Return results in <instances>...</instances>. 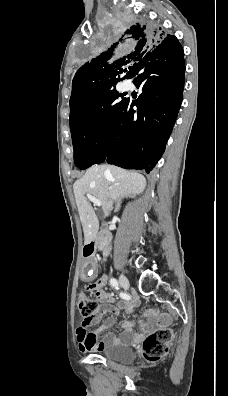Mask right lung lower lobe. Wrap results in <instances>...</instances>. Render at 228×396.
<instances>
[{"label": "right lung lower lobe", "mask_w": 228, "mask_h": 396, "mask_svg": "<svg viewBox=\"0 0 228 396\" xmlns=\"http://www.w3.org/2000/svg\"><path fill=\"white\" fill-rule=\"evenodd\" d=\"M158 47L132 75L143 92L124 99L109 135L104 159L109 164L149 173L165 150L182 102L185 62L181 45Z\"/></svg>", "instance_id": "1"}]
</instances>
